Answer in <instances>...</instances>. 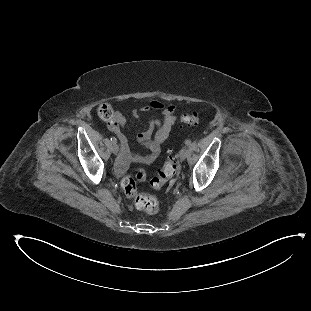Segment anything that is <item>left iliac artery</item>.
I'll list each match as a JSON object with an SVG mask.
<instances>
[{
  "label": "left iliac artery",
  "instance_id": "44dca946",
  "mask_svg": "<svg viewBox=\"0 0 311 311\" xmlns=\"http://www.w3.org/2000/svg\"><path fill=\"white\" fill-rule=\"evenodd\" d=\"M185 144H186L187 146H189V145L191 144V140H189V139L186 140V141H185Z\"/></svg>",
  "mask_w": 311,
  "mask_h": 311
}]
</instances>
